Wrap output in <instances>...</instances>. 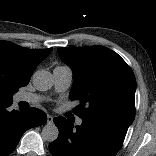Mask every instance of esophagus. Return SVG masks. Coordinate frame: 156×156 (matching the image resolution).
<instances>
[{
	"instance_id": "34e87169",
	"label": "esophagus",
	"mask_w": 156,
	"mask_h": 156,
	"mask_svg": "<svg viewBox=\"0 0 156 156\" xmlns=\"http://www.w3.org/2000/svg\"><path fill=\"white\" fill-rule=\"evenodd\" d=\"M53 122V117L51 115H47V123L51 124Z\"/></svg>"
}]
</instances>
